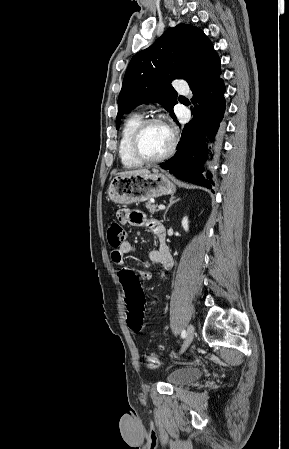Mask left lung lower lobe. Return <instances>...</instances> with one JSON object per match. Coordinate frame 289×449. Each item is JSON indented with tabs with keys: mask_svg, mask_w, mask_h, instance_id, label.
Masks as SVG:
<instances>
[{
	"mask_svg": "<svg viewBox=\"0 0 289 449\" xmlns=\"http://www.w3.org/2000/svg\"><path fill=\"white\" fill-rule=\"evenodd\" d=\"M220 75V59L212 50L188 83L193 102L199 103L193 109L195 117L184 127L175 155L160 165L177 178L208 189L214 186L209 162L219 153L224 135L226 100Z\"/></svg>",
	"mask_w": 289,
	"mask_h": 449,
	"instance_id": "obj_1",
	"label": "left lung lower lobe"
}]
</instances>
